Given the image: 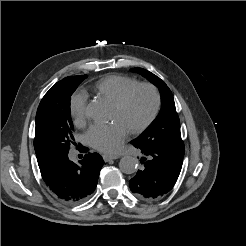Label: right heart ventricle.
I'll list each match as a JSON object with an SVG mask.
<instances>
[{
	"label": "right heart ventricle",
	"mask_w": 246,
	"mask_h": 246,
	"mask_svg": "<svg viewBox=\"0 0 246 246\" xmlns=\"http://www.w3.org/2000/svg\"><path fill=\"white\" fill-rule=\"evenodd\" d=\"M138 83V80L129 76L111 74L98 80L95 84V90L101 96H104L105 98L114 102L127 89Z\"/></svg>",
	"instance_id": "1"
}]
</instances>
